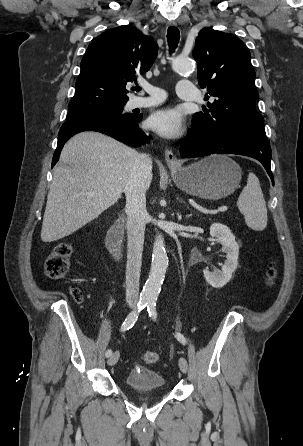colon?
Returning <instances> with one entry per match:
<instances>
[{
	"label": "colon",
	"instance_id": "1",
	"mask_svg": "<svg viewBox=\"0 0 303 446\" xmlns=\"http://www.w3.org/2000/svg\"><path fill=\"white\" fill-rule=\"evenodd\" d=\"M73 253V248L69 243H61L57 245L54 250L45 259V273L51 279L63 278L69 270L70 260ZM276 268L271 262L266 270V284L272 285L276 278ZM71 295L76 302L83 300L82 292L77 287H72ZM142 361L146 364H154L158 361V354L155 351H145L142 356Z\"/></svg>",
	"mask_w": 303,
	"mask_h": 446
}]
</instances>
